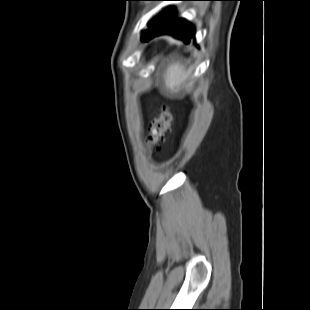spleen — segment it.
<instances>
[{"mask_svg": "<svg viewBox=\"0 0 310 310\" xmlns=\"http://www.w3.org/2000/svg\"><path fill=\"white\" fill-rule=\"evenodd\" d=\"M190 77L189 69L186 70L181 62L170 63L163 75L164 86L167 93L174 95L179 92L180 86Z\"/></svg>", "mask_w": 310, "mask_h": 310, "instance_id": "obj_1", "label": "spleen"}]
</instances>
